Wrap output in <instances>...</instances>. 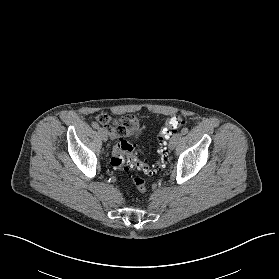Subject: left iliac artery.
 <instances>
[{
	"mask_svg": "<svg viewBox=\"0 0 279 279\" xmlns=\"http://www.w3.org/2000/svg\"><path fill=\"white\" fill-rule=\"evenodd\" d=\"M181 133H182L183 135L187 134V133H188V128H187V127L183 128L182 131H181ZM168 138H169V136H168Z\"/></svg>",
	"mask_w": 279,
	"mask_h": 279,
	"instance_id": "obj_1",
	"label": "left iliac artery"
}]
</instances>
